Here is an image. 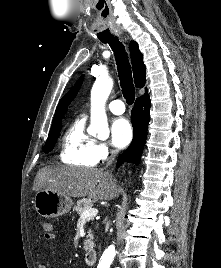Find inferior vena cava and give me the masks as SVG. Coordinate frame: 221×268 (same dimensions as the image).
Segmentation results:
<instances>
[{"label": "inferior vena cava", "instance_id": "602c4592", "mask_svg": "<svg viewBox=\"0 0 221 268\" xmlns=\"http://www.w3.org/2000/svg\"><path fill=\"white\" fill-rule=\"evenodd\" d=\"M116 154H117L116 150L111 151V156H110L109 161L107 162V165H106L107 167L112 164Z\"/></svg>", "mask_w": 221, "mask_h": 268}]
</instances>
